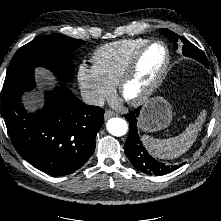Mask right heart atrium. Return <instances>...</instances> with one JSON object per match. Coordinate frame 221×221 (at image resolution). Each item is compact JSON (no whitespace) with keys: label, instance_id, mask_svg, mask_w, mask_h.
Masks as SVG:
<instances>
[{"label":"right heart atrium","instance_id":"1","mask_svg":"<svg viewBox=\"0 0 221 221\" xmlns=\"http://www.w3.org/2000/svg\"><path fill=\"white\" fill-rule=\"evenodd\" d=\"M77 82L83 98L91 105L102 104L114 92V86L101 76L94 65L81 63L77 70Z\"/></svg>","mask_w":221,"mask_h":221}]
</instances>
